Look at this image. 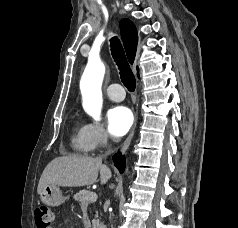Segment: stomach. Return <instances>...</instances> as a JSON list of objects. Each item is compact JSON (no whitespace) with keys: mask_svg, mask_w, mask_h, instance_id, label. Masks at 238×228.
I'll return each instance as SVG.
<instances>
[{"mask_svg":"<svg viewBox=\"0 0 238 228\" xmlns=\"http://www.w3.org/2000/svg\"><path fill=\"white\" fill-rule=\"evenodd\" d=\"M40 198L42 202L48 206H58L69 197H64L58 186L48 185L44 187L42 193L40 194Z\"/></svg>","mask_w":238,"mask_h":228,"instance_id":"1","label":"stomach"}]
</instances>
